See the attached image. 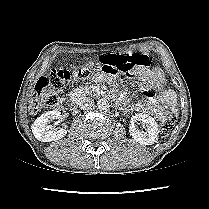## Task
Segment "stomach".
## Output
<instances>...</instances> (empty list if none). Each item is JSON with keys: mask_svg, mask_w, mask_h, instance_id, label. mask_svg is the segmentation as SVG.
I'll return each mask as SVG.
<instances>
[{"mask_svg": "<svg viewBox=\"0 0 209 209\" xmlns=\"http://www.w3.org/2000/svg\"><path fill=\"white\" fill-rule=\"evenodd\" d=\"M74 75L78 79H85L89 75V68L85 64H78L74 68Z\"/></svg>", "mask_w": 209, "mask_h": 209, "instance_id": "0dacf381", "label": "stomach"}]
</instances>
